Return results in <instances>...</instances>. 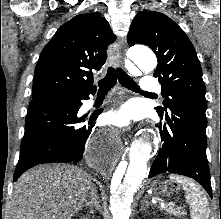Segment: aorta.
Masks as SVG:
<instances>
[{"label": "aorta", "mask_w": 221, "mask_h": 219, "mask_svg": "<svg viewBox=\"0 0 221 219\" xmlns=\"http://www.w3.org/2000/svg\"><path fill=\"white\" fill-rule=\"evenodd\" d=\"M127 57L146 72L153 71L157 66L156 56L144 46L130 48ZM151 153V143L139 141L132 149L129 159L122 161L113 172L110 186V210L113 219L130 218L134 197L147 176Z\"/></svg>", "instance_id": "1"}]
</instances>
